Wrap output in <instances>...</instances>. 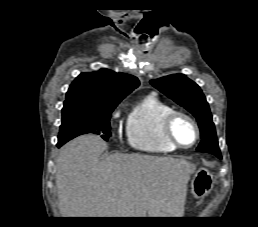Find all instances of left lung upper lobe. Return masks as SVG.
<instances>
[{"label": "left lung upper lobe", "instance_id": "obj_1", "mask_svg": "<svg viewBox=\"0 0 258 227\" xmlns=\"http://www.w3.org/2000/svg\"><path fill=\"white\" fill-rule=\"evenodd\" d=\"M150 83L196 117L202 139L197 150L221 159L212 115L200 87L183 74L165 76L151 80Z\"/></svg>", "mask_w": 258, "mask_h": 227}]
</instances>
